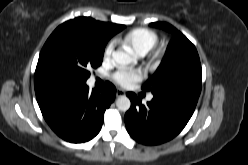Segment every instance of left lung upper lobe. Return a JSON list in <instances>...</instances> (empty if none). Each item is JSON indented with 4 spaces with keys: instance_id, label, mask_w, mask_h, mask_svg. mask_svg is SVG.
I'll use <instances>...</instances> for the list:
<instances>
[{
    "instance_id": "1",
    "label": "left lung upper lobe",
    "mask_w": 248,
    "mask_h": 165,
    "mask_svg": "<svg viewBox=\"0 0 248 165\" xmlns=\"http://www.w3.org/2000/svg\"><path fill=\"white\" fill-rule=\"evenodd\" d=\"M152 26L165 29L174 35L156 72L142 86L154 96L198 98L202 86L200 59L194 44L180 31L165 22Z\"/></svg>"
}]
</instances>
